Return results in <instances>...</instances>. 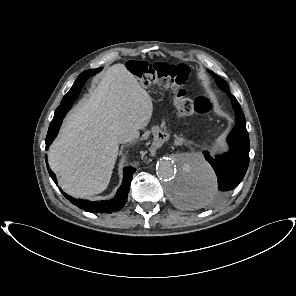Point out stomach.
Returning <instances> with one entry per match:
<instances>
[{
    "label": "stomach",
    "mask_w": 296,
    "mask_h": 296,
    "mask_svg": "<svg viewBox=\"0 0 296 296\" xmlns=\"http://www.w3.org/2000/svg\"><path fill=\"white\" fill-rule=\"evenodd\" d=\"M152 139L149 147L152 151L157 152L161 149L164 140L168 136L167 129L162 125H157L152 130Z\"/></svg>",
    "instance_id": "obj_1"
}]
</instances>
